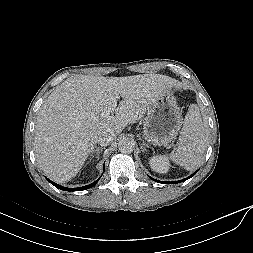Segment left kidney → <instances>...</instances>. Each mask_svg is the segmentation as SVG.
Masks as SVG:
<instances>
[{"mask_svg":"<svg viewBox=\"0 0 253 253\" xmlns=\"http://www.w3.org/2000/svg\"><path fill=\"white\" fill-rule=\"evenodd\" d=\"M149 164L151 169L158 173H167L170 167L168 158L164 155H156L151 157Z\"/></svg>","mask_w":253,"mask_h":253,"instance_id":"5707ae66","label":"left kidney"}]
</instances>
